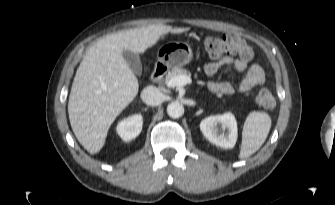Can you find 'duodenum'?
Returning <instances> with one entry per match:
<instances>
[{
	"instance_id": "obj_1",
	"label": "duodenum",
	"mask_w": 335,
	"mask_h": 205,
	"mask_svg": "<svg viewBox=\"0 0 335 205\" xmlns=\"http://www.w3.org/2000/svg\"><path fill=\"white\" fill-rule=\"evenodd\" d=\"M167 69V64L164 61H158L152 72V79L154 81H160L167 72Z\"/></svg>"
}]
</instances>
